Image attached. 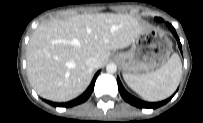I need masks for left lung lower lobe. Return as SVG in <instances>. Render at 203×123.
<instances>
[{
  "label": "left lung lower lobe",
  "mask_w": 203,
  "mask_h": 123,
  "mask_svg": "<svg viewBox=\"0 0 203 123\" xmlns=\"http://www.w3.org/2000/svg\"><path fill=\"white\" fill-rule=\"evenodd\" d=\"M158 21H162V19L158 18ZM167 26L168 28L171 30V32L173 33V35L175 36L177 42H178V46H179V49L180 51L182 52V46H181V43L179 41V38L177 36V33L175 31V29L169 24L167 23ZM117 81H118V87H119V91H120V94L121 96L123 97V99L125 101H127L128 103H130L131 105L133 106H136V107H139V108H152V109H155V108H158L164 104H166L173 96H171L170 98L164 100V101H161V102H156V103H150V102H145V101H141L137 98H135L134 96L130 95L123 87V85L121 84L119 78H117Z\"/></svg>",
  "instance_id": "obj_1"
}]
</instances>
